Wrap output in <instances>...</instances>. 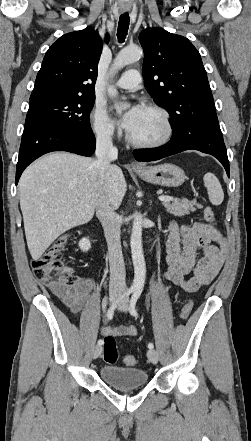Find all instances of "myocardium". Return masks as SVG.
I'll return each instance as SVG.
<instances>
[{
	"label": "myocardium",
	"instance_id": "1",
	"mask_svg": "<svg viewBox=\"0 0 251 441\" xmlns=\"http://www.w3.org/2000/svg\"><path fill=\"white\" fill-rule=\"evenodd\" d=\"M143 108L153 110V111L160 114V116L162 117V120L164 122L165 132L159 139L153 140V141L136 140L128 132L127 136H126L128 142L135 147L145 148V149L157 148V147H161V146L165 145L171 139V137L173 135V125H172L170 114L168 113V111L165 108H163L162 106L157 105V104H152V103L146 104Z\"/></svg>",
	"mask_w": 251,
	"mask_h": 441
}]
</instances>
